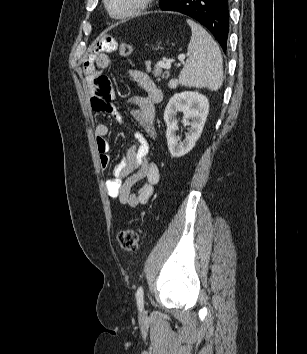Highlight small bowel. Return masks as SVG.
Listing matches in <instances>:
<instances>
[{
    "label": "small bowel",
    "mask_w": 307,
    "mask_h": 354,
    "mask_svg": "<svg viewBox=\"0 0 307 354\" xmlns=\"http://www.w3.org/2000/svg\"><path fill=\"white\" fill-rule=\"evenodd\" d=\"M116 47L117 42L112 36L103 37L84 60L83 71L86 83L92 88L93 110L110 114L119 123H124L121 112L111 103L114 93L109 79L99 73V70L107 68L110 62L104 51H111ZM129 74L145 91V95L131 99V103L135 106L134 117L140 129L135 131V142L128 149L125 157L114 167L113 178L107 180L105 185L110 197L119 199L123 205L136 208L150 200L154 186L160 179L158 166L149 158V139L155 136V105L161 101L162 92L145 72L131 69ZM108 132L106 123L96 124V145L102 169H107L111 161ZM141 180H144V183L137 193L132 192L133 186Z\"/></svg>",
    "instance_id": "obj_1"
}]
</instances>
